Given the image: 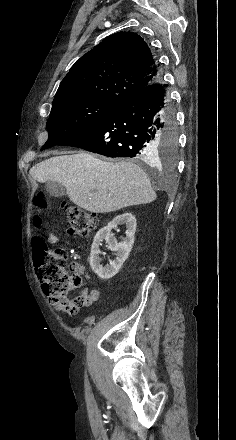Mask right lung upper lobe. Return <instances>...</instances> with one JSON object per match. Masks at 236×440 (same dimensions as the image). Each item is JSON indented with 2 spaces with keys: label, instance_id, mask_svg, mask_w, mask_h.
<instances>
[{
  "label": "right lung upper lobe",
  "instance_id": "obj_1",
  "mask_svg": "<svg viewBox=\"0 0 236 440\" xmlns=\"http://www.w3.org/2000/svg\"><path fill=\"white\" fill-rule=\"evenodd\" d=\"M159 77L147 43L136 33L118 32L106 37L71 67L53 103L95 100L120 105Z\"/></svg>",
  "mask_w": 236,
  "mask_h": 440
}]
</instances>
